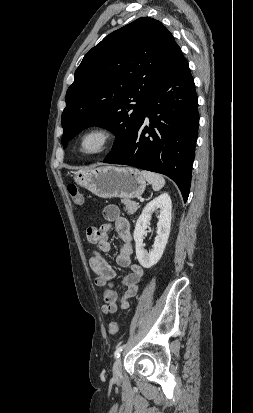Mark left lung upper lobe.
Segmentation results:
<instances>
[{
    "label": "left lung upper lobe",
    "instance_id": "5c2ea615",
    "mask_svg": "<svg viewBox=\"0 0 253 413\" xmlns=\"http://www.w3.org/2000/svg\"><path fill=\"white\" fill-rule=\"evenodd\" d=\"M179 49L163 24L149 17L106 36L84 56L67 90L61 117L63 147L83 129L97 125L116 135L105 159L122 151Z\"/></svg>",
    "mask_w": 253,
    "mask_h": 413
}]
</instances>
